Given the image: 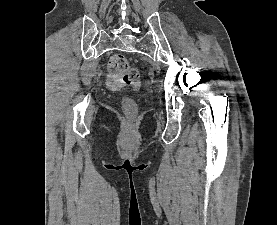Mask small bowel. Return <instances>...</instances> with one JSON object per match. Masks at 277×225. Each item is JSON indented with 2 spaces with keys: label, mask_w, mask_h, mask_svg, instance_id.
Here are the masks:
<instances>
[{
  "label": "small bowel",
  "mask_w": 277,
  "mask_h": 225,
  "mask_svg": "<svg viewBox=\"0 0 277 225\" xmlns=\"http://www.w3.org/2000/svg\"><path fill=\"white\" fill-rule=\"evenodd\" d=\"M110 82H111L112 84H115V83H116V79H115V78H111V79H110Z\"/></svg>",
  "instance_id": "small-bowel-1"
}]
</instances>
